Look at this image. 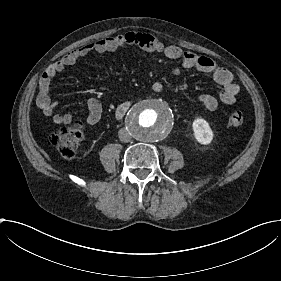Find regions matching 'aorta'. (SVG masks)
<instances>
[{"label":"aorta","mask_w":281,"mask_h":281,"mask_svg":"<svg viewBox=\"0 0 281 281\" xmlns=\"http://www.w3.org/2000/svg\"><path fill=\"white\" fill-rule=\"evenodd\" d=\"M127 128L131 136L142 142H157L173 127L172 110L163 102L147 99L136 103L128 112Z\"/></svg>","instance_id":"762f6f07"}]
</instances>
